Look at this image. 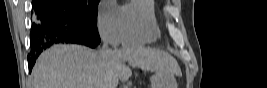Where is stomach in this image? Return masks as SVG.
Segmentation results:
<instances>
[{
	"label": "stomach",
	"instance_id": "1",
	"mask_svg": "<svg viewBox=\"0 0 267 88\" xmlns=\"http://www.w3.org/2000/svg\"><path fill=\"white\" fill-rule=\"evenodd\" d=\"M150 81L152 88H176L175 79L165 72H155Z\"/></svg>",
	"mask_w": 267,
	"mask_h": 88
}]
</instances>
